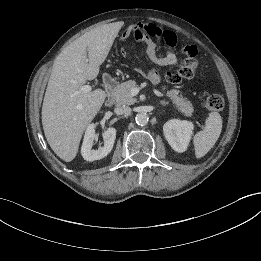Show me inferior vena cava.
<instances>
[{"instance_id":"obj_1","label":"inferior vena cava","mask_w":261,"mask_h":261,"mask_svg":"<svg viewBox=\"0 0 261 261\" xmlns=\"http://www.w3.org/2000/svg\"><path fill=\"white\" fill-rule=\"evenodd\" d=\"M131 112V108L128 106H119L115 108V113L119 115L129 114Z\"/></svg>"}]
</instances>
